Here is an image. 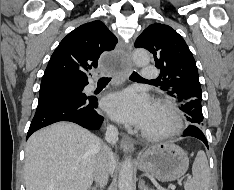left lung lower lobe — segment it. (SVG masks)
<instances>
[{
    "label": "left lung lower lobe",
    "mask_w": 234,
    "mask_h": 190,
    "mask_svg": "<svg viewBox=\"0 0 234 190\" xmlns=\"http://www.w3.org/2000/svg\"><path fill=\"white\" fill-rule=\"evenodd\" d=\"M183 136H190V137H195L201 141L204 142V144L208 147V143L206 140V137L202 131V128L194 125V124H190L187 129L184 131Z\"/></svg>",
    "instance_id": "1"
}]
</instances>
